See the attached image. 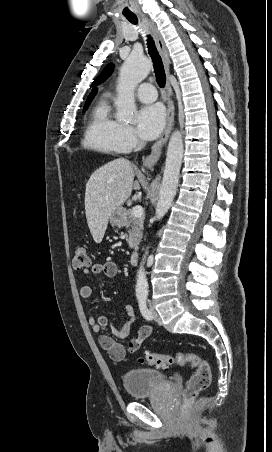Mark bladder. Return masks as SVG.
<instances>
[{
  "mask_svg": "<svg viewBox=\"0 0 272 452\" xmlns=\"http://www.w3.org/2000/svg\"><path fill=\"white\" fill-rule=\"evenodd\" d=\"M122 385L131 398L150 396L165 383V377L159 370L131 368L121 375Z\"/></svg>",
  "mask_w": 272,
  "mask_h": 452,
  "instance_id": "1",
  "label": "bladder"
}]
</instances>
